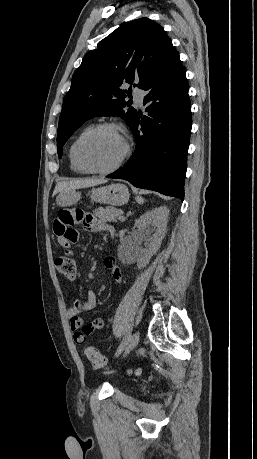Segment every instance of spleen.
Returning <instances> with one entry per match:
<instances>
[{"label": "spleen", "mask_w": 257, "mask_h": 459, "mask_svg": "<svg viewBox=\"0 0 257 459\" xmlns=\"http://www.w3.org/2000/svg\"><path fill=\"white\" fill-rule=\"evenodd\" d=\"M137 200L143 202V199L141 197H137Z\"/></svg>", "instance_id": "1"}]
</instances>
